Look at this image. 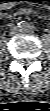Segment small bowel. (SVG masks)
I'll return each mask as SVG.
<instances>
[{
    "label": "small bowel",
    "instance_id": "obj_1",
    "mask_svg": "<svg viewBox=\"0 0 50 111\" xmlns=\"http://www.w3.org/2000/svg\"><path fill=\"white\" fill-rule=\"evenodd\" d=\"M34 11L26 8L19 9L18 11L15 12V15H22V14H33ZM6 18H10V16L5 15Z\"/></svg>",
    "mask_w": 50,
    "mask_h": 111
}]
</instances>
